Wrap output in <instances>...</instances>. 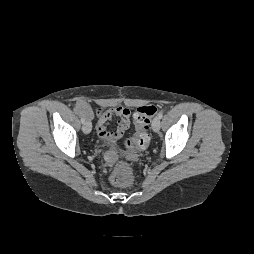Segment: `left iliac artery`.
<instances>
[{
  "mask_svg": "<svg viewBox=\"0 0 254 254\" xmlns=\"http://www.w3.org/2000/svg\"><path fill=\"white\" fill-rule=\"evenodd\" d=\"M158 117L161 119L163 117V112H159Z\"/></svg>",
  "mask_w": 254,
  "mask_h": 254,
  "instance_id": "1",
  "label": "left iliac artery"
}]
</instances>
